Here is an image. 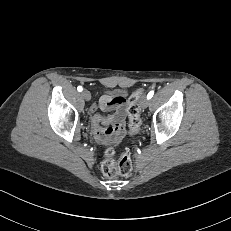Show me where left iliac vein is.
I'll use <instances>...</instances> for the list:
<instances>
[{
  "instance_id": "obj_1",
  "label": "left iliac vein",
  "mask_w": 231,
  "mask_h": 231,
  "mask_svg": "<svg viewBox=\"0 0 231 231\" xmlns=\"http://www.w3.org/2000/svg\"><path fill=\"white\" fill-rule=\"evenodd\" d=\"M148 104H149V99L146 96H143L141 99V107L145 109L147 108Z\"/></svg>"
}]
</instances>
